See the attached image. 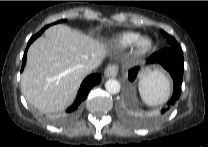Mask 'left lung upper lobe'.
Returning <instances> with one entry per match:
<instances>
[{"mask_svg":"<svg viewBox=\"0 0 208 147\" xmlns=\"http://www.w3.org/2000/svg\"><path fill=\"white\" fill-rule=\"evenodd\" d=\"M161 32H162V35L168 39L169 47L175 48L177 50H181L179 44L177 43L174 37L167 34L165 31H161Z\"/></svg>","mask_w":208,"mask_h":147,"instance_id":"5c2ea615","label":"left lung upper lobe"}]
</instances>
